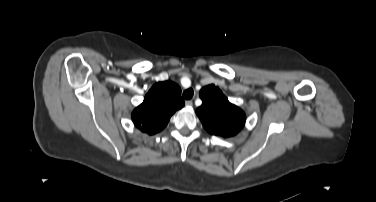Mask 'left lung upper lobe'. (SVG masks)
I'll use <instances>...</instances> for the list:
<instances>
[{
  "label": "left lung upper lobe",
  "instance_id": "obj_1",
  "mask_svg": "<svg viewBox=\"0 0 376 202\" xmlns=\"http://www.w3.org/2000/svg\"><path fill=\"white\" fill-rule=\"evenodd\" d=\"M199 95L202 105L197 108L196 113L210 134L231 137L244 127L245 113L231 104L218 87L205 86Z\"/></svg>",
  "mask_w": 376,
  "mask_h": 202
}]
</instances>
